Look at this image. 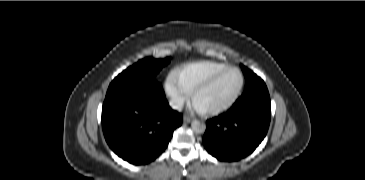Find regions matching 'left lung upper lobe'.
<instances>
[{"label": "left lung upper lobe", "mask_w": 365, "mask_h": 180, "mask_svg": "<svg viewBox=\"0 0 365 180\" xmlns=\"http://www.w3.org/2000/svg\"><path fill=\"white\" fill-rule=\"evenodd\" d=\"M241 68L246 79L245 91L254 88L258 85L265 84L264 81L260 77H258L255 73H253L251 70H249L243 65H241Z\"/></svg>", "instance_id": "5c2ea615"}]
</instances>
